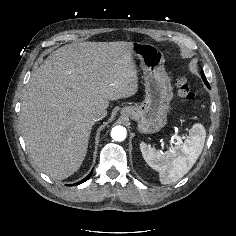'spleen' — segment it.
<instances>
[{"label":"spleen","mask_w":236,"mask_h":236,"mask_svg":"<svg viewBox=\"0 0 236 236\" xmlns=\"http://www.w3.org/2000/svg\"><path fill=\"white\" fill-rule=\"evenodd\" d=\"M206 138L202 124H194L182 145L174 146L164 153L141 142L140 150L147 164L159 172L162 184L181 179L193 167L200 156Z\"/></svg>","instance_id":"1"}]
</instances>
